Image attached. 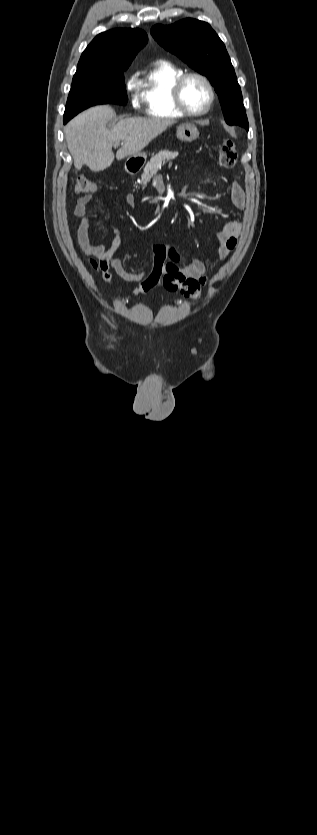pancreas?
<instances>
[{"label":"pancreas","instance_id":"cf45deb5","mask_svg":"<svg viewBox=\"0 0 317 835\" xmlns=\"http://www.w3.org/2000/svg\"><path fill=\"white\" fill-rule=\"evenodd\" d=\"M178 156V152H171L168 150H163L158 154L154 155L150 161L146 164L143 174L141 175V181L143 185H146L150 179L156 175L157 171L164 165L166 162L176 158Z\"/></svg>","mask_w":317,"mask_h":835}]
</instances>
